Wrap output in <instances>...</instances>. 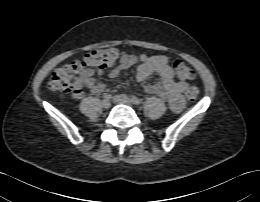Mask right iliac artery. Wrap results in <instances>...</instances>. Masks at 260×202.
<instances>
[{"mask_svg": "<svg viewBox=\"0 0 260 202\" xmlns=\"http://www.w3.org/2000/svg\"><path fill=\"white\" fill-rule=\"evenodd\" d=\"M104 98L110 99L111 95L110 94H104Z\"/></svg>", "mask_w": 260, "mask_h": 202, "instance_id": "obj_1", "label": "right iliac artery"}]
</instances>
